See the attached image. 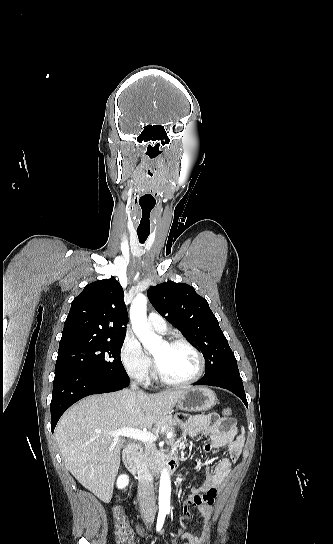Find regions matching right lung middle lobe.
Instances as JSON below:
<instances>
[{
	"instance_id": "1",
	"label": "right lung middle lobe",
	"mask_w": 333,
	"mask_h": 544,
	"mask_svg": "<svg viewBox=\"0 0 333 544\" xmlns=\"http://www.w3.org/2000/svg\"><path fill=\"white\" fill-rule=\"evenodd\" d=\"M125 337L102 339L59 348L56 366L90 371L100 377L124 381L129 379L120 358Z\"/></svg>"
}]
</instances>
